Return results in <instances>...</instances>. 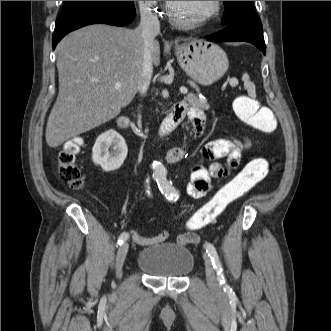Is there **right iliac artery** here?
<instances>
[{
  "instance_id": "right-iliac-artery-1",
  "label": "right iliac artery",
  "mask_w": 331,
  "mask_h": 331,
  "mask_svg": "<svg viewBox=\"0 0 331 331\" xmlns=\"http://www.w3.org/2000/svg\"><path fill=\"white\" fill-rule=\"evenodd\" d=\"M147 187V193L149 194V186L146 185ZM129 238V234L127 232H123L119 237H118V240H117V245H121L123 244L127 239Z\"/></svg>"
}]
</instances>
